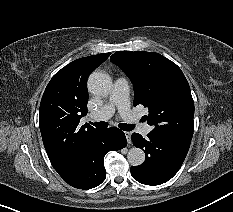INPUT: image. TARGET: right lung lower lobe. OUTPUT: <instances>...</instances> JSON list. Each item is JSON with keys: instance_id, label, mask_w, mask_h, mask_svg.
I'll return each instance as SVG.
<instances>
[{"instance_id": "right-lung-lower-lobe-1", "label": "right lung lower lobe", "mask_w": 233, "mask_h": 212, "mask_svg": "<svg viewBox=\"0 0 233 212\" xmlns=\"http://www.w3.org/2000/svg\"><path fill=\"white\" fill-rule=\"evenodd\" d=\"M127 145L125 134L116 127L100 129L82 160L60 175L69 185L79 189H91L106 178L104 156L111 150Z\"/></svg>"}]
</instances>
